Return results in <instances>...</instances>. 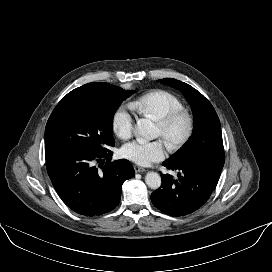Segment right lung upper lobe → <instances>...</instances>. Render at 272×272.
<instances>
[{"instance_id":"1","label":"right lung upper lobe","mask_w":272,"mask_h":272,"mask_svg":"<svg viewBox=\"0 0 272 272\" xmlns=\"http://www.w3.org/2000/svg\"><path fill=\"white\" fill-rule=\"evenodd\" d=\"M92 86L90 84L78 87L69 92L55 107L54 111L85 104L92 100Z\"/></svg>"}]
</instances>
